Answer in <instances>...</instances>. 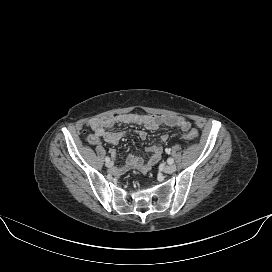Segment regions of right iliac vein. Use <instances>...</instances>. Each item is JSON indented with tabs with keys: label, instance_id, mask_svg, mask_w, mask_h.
I'll list each match as a JSON object with an SVG mask.
<instances>
[{
	"label": "right iliac vein",
	"instance_id": "1",
	"mask_svg": "<svg viewBox=\"0 0 272 272\" xmlns=\"http://www.w3.org/2000/svg\"><path fill=\"white\" fill-rule=\"evenodd\" d=\"M106 167L110 168L113 166V162L109 161V162H106Z\"/></svg>",
	"mask_w": 272,
	"mask_h": 272
}]
</instances>
